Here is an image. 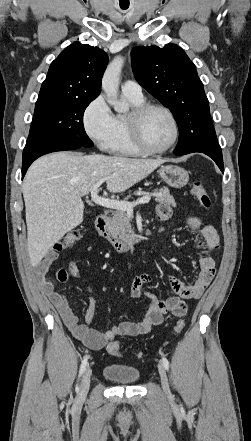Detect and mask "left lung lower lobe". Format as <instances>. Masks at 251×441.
Segmentation results:
<instances>
[{
	"label": "left lung lower lobe",
	"instance_id": "0a47b994",
	"mask_svg": "<svg viewBox=\"0 0 251 441\" xmlns=\"http://www.w3.org/2000/svg\"><path fill=\"white\" fill-rule=\"evenodd\" d=\"M200 152L211 157L224 172L221 147L217 141L211 118H201L179 130L176 156Z\"/></svg>",
	"mask_w": 251,
	"mask_h": 441
}]
</instances>
